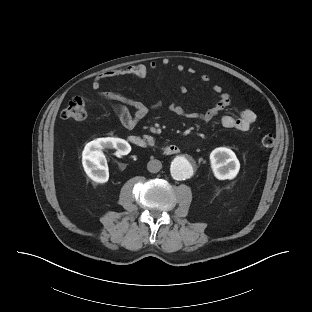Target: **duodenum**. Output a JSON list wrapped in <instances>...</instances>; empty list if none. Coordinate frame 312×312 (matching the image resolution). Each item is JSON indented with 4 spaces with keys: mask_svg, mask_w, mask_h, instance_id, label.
Segmentation results:
<instances>
[{
    "mask_svg": "<svg viewBox=\"0 0 312 312\" xmlns=\"http://www.w3.org/2000/svg\"><path fill=\"white\" fill-rule=\"evenodd\" d=\"M128 142L139 148H150L153 146L152 140L149 137L131 135L128 137ZM163 153L173 155L180 152V147L176 144L166 145L162 148Z\"/></svg>",
    "mask_w": 312,
    "mask_h": 312,
    "instance_id": "obj_1",
    "label": "duodenum"
}]
</instances>
